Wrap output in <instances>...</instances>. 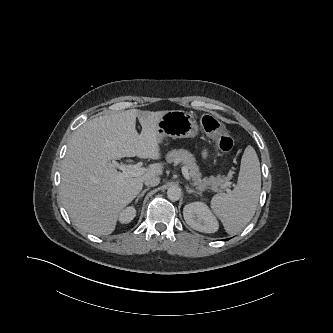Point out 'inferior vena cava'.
<instances>
[{
  "mask_svg": "<svg viewBox=\"0 0 333 333\" xmlns=\"http://www.w3.org/2000/svg\"><path fill=\"white\" fill-rule=\"evenodd\" d=\"M160 182V178L158 176H152V177H148L145 179L144 183L146 186H157Z\"/></svg>",
  "mask_w": 333,
  "mask_h": 333,
  "instance_id": "1",
  "label": "inferior vena cava"
}]
</instances>
